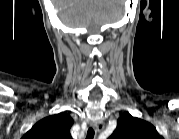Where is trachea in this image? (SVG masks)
<instances>
[{"instance_id":"1","label":"trachea","mask_w":179,"mask_h":139,"mask_svg":"<svg viewBox=\"0 0 179 139\" xmlns=\"http://www.w3.org/2000/svg\"><path fill=\"white\" fill-rule=\"evenodd\" d=\"M94 130L92 128H89L88 132H87V136L86 139H93L94 138Z\"/></svg>"}]
</instances>
